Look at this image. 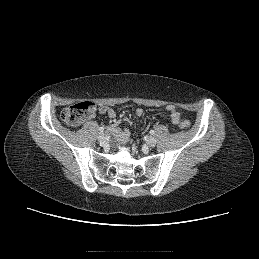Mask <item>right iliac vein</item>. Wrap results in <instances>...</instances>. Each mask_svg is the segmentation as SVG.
I'll use <instances>...</instances> for the list:
<instances>
[{
    "label": "right iliac vein",
    "mask_w": 259,
    "mask_h": 259,
    "mask_svg": "<svg viewBox=\"0 0 259 259\" xmlns=\"http://www.w3.org/2000/svg\"><path fill=\"white\" fill-rule=\"evenodd\" d=\"M106 135H105V133H100L99 134V136H98V141L100 142V143H105L106 142Z\"/></svg>",
    "instance_id": "obj_1"
}]
</instances>
